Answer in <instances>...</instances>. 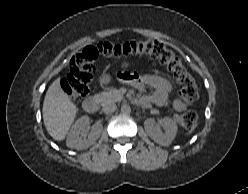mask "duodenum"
I'll return each mask as SVG.
<instances>
[{"label":"duodenum","mask_w":248,"mask_h":194,"mask_svg":"<svg viewBox=\"0 0 248 194\" xmlns=\"http://www.w3.org/2000/svg\"><path fill=\"white\" fill-rule=\"evenodd\" d=\"M83 108L89 113L96 112L98 108V99L94 96L87 97L83 101Z\"/></svg>","instance_id":"410a0bca"}]
</instances>
